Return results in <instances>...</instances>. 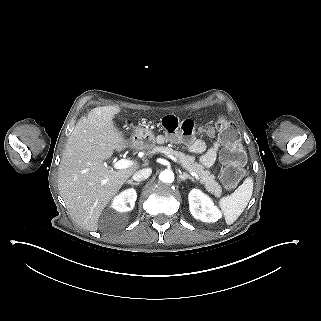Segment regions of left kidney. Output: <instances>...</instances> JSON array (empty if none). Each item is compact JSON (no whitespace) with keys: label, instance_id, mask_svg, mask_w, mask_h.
<instances>
[{"label":"left kidney","instance_id":"left-kidney-1","mask_svg":"<svg viewBox=\"0 0 321 321\" xmlns=\"http://www.w3.org/2000/svg\"><path fill=\"white\" fill-rule=\"evenodd\" d=\"M188 200L190 212L195 219H200L203 222H215L221 217L211 200L200 190H192Z\"/></svg>","mask_w":321,"mask_h":321}]
</instances>
